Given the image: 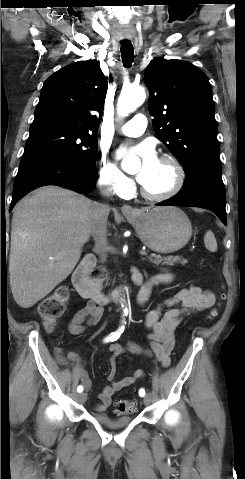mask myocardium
Masks as SVG:
<instances>
[{
	"instance_id": "myocardium-1",
	"label": "myocardium",
	"mask_w": 245,
	"mask_h": 479,
	"mask_svg": "<svg viewBox=\"0 0 245 479\" xmlns=\"http://www.w3.org/2000/svg\"><path fill=\"white\" fill-rule=\"evenodd\" d=\"M158 160L167 162L172 167L174 177L171 186L166 191L159 194L150 193L143 186L140 187L141 195L152 202H162L174 197L180 192L185 182L184 168L175 156L171 154H162Z\"/></svg>"
}]
</instances>
